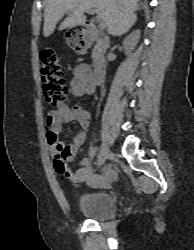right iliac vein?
Returning a JSON list of instances; mask_svg holds the SVG:
<instances>
[{
    "label": "right iliac vein",
    "mask_w": 194,
    "mask_h": 250,
    "mask_svg": "<svg viewBox=\"0 0 194 250\" xmlns=\"http://www.w3.org/2000/svg\"><path fill=\"white\" fill-rule=\"evenodd\" d=\"M111 153L109 151V148L105 142L102 143L101 145V157L98 158V165L102 166L107 158H110Z\"/></svg>",
    "instance_id": "63e3f726"
}]
</instances>
